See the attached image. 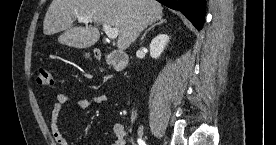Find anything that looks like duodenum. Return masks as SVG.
I'll return each mask as SVG.
<instances>
[{"instance_id":"duodenum-1","label":"duodenum","mask_w":276,"mask_h":145,"mask_svg":"<svg viewBox=\"0 0 276 145\" xmlns=\"http://www.w3.org/2000/svg\"><path fill=\"white\" fill-rule=\"evenodd\" d=\"M103 58L116 71L124 70L128 62V57L126 53L121 50H112L106 53Z\"/></svg>"}]
</instances>
